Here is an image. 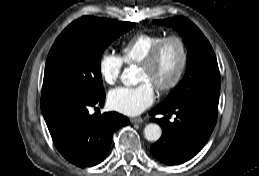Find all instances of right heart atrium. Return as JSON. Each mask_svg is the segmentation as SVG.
<instances>
[{
  "label": "right heart atrium",
  "mask_w": 259,
  "mask_h": 176,
  "mask_svg": "<svg viewBox=\"0 0 259 176\" xmlns=\"http://www.w3.org/2000/svg\"><path fill=\"white\" fill-rule=\"evenodd\" d=\"M122 69L123 60L119 55L108 51L102 53L98 62V72L105 84H115L120 78Z\"/></svg>",
  "instance_id": "obj_1"
}]
</instances>
